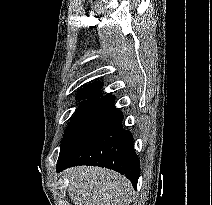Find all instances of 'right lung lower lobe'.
Masks as SVG:
<instances>
[{"label":"right lung lower lobe","mask_w":212,"mask_h":205,"mask_svg":"<svg viewBox=\"0 0 212 205\" xmlns=\"http://www.w3.org/2000/svg\"><path fill=\"white\" fill-rule=\"evenodd\" d=\"M114 96L106 94L66 151L59 156L58 172L77 165L113 169L125 175L134 188L140 163L134 152L133 136L121 127L122 112L114 106Z\"/></svg>","instance_id":"98d812e1"}]
</instances>
